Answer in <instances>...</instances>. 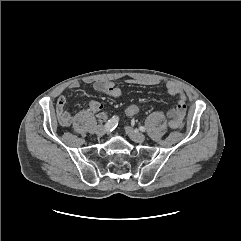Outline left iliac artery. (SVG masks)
Segmentation results:
<instances>
[{"label":"left iliac artery","instance_id":"44dca946","mask_svg":"<svg viewBox=\"0 0 241 241\" xmlns=\"http://www.w3.org/2000/svg\"><path fill=\"white\" fill-rule=\"evenodd\" d=\"M139 129H140L141 131H145V130H146L145 127H143V126H140Z\"/></svg>","mask_w":241,"mask_h":241}]
</instances>
